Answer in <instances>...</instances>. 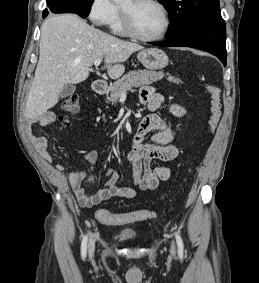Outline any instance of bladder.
I'll list each match as a JSON object with an SVG mask.
<instances>
[{
    "label": "bladder",
    "mask_w": 259,
    "mask_h": 283,
    "mask_svg": "<svg viewBox=\"0 0 259 283\" xmlns=\"http://www.w3.org/2000/svg\"><path fill=\"white\" fill-rule=\"evenodd\" d=\"M136 236H137L136 230L129 227L123 228L119 232V237L123 240H132L136 238Z\"/></svg>",
    "instance_id": "bladder-1"
}]
</instances>
